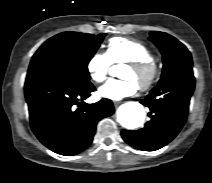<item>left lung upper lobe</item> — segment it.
<instances>
[{
    "label": "left lung upper lobe",
    "mask_w": 212,
    "mask_h": 183,
    "mask_svg": "<svg viewBox=\"0 0 212 183\" xmlns=\"http://www.w3.org/2000/svg\"><path fill=\"white\" fill-rule=\"evenodd\" d=\"M150 40L163 55V73L159 83L174 74L192 68V57L188 49L173 36L164 32H151Z\"/></svg>",
    "instance_id": "5c2ea615"
}]
</instances>
